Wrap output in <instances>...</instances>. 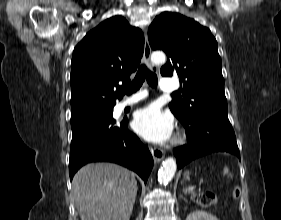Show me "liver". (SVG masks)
I'll return each mask as SVG.
<instances>
[{"label": "liver", "mask_w": 281, "mask_h": 220, "mask_svg": "<svg viewBox=\"0 0 281 220\" xmlns=\"http://www.w3.org/2000/svg\"><path fill=\"white\" fill-rule=\"evenodd\" d=\"M72 190L81 220H129L137 181L119 165L90 163L75 174Z\"/></svg>", "instance_id": "obj_1"}]
</instances>
